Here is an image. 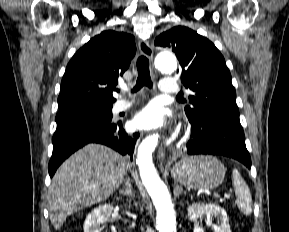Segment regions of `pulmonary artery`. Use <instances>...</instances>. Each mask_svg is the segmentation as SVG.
<instances>
[{"instance_id": "e3ab8cb5", "label": "pulmonary artery", "mask_w": 289, "mask_h": 232, "mask_svg": "<svg viewBox=\"0 0 289 232\" xmlns=\"http://www.w3.org/2000/svg\"><path fill=\"white\" fill-rule=\"evenodd\" d=\"M160 91L164 94H175L179 91V85L173 78H164L160 81ZM134 103V100L120 99L116 101L114 105V111L120 112L130 108Z\"/></svg>"}]
</instances>
